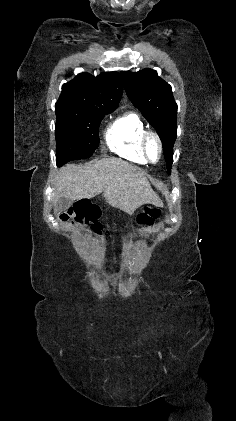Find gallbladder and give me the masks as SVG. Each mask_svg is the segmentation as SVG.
<instances>
[{
	"label": "gallbladder",
	"mask_w": 236,
	"mask_h": 421,
	"mask_svg": "<svg viewBox=\"0 0 236 421\" xmlns=\"http://www.w3.org/2000/svg\"><path fill=\"white\" fill-rule=\"evenodd\" d=\"M73 204L72 198H65V196H60L55 202V213H64L67 211V208Z\"/></svg>",
	"instance_id": "bac80fb5"
}]
</instances>
